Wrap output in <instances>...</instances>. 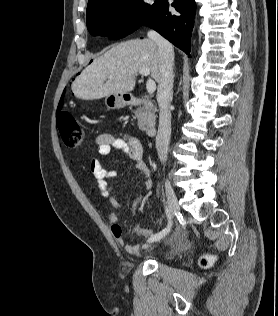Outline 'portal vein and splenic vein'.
I'll use <instances>...</instances> for the list:
<instances>
[{
  "instance_id": "portal-vein-and-splenic-vein-1",
  "label": "portal vein and splenic vein",
  "mask_w": 278,
  "mask_h": 316,
  "mask_svg": "<svg viewBox=\"0 0 278 316\" xmlns=\"http://www.w3.org/2000/svg\"><path fill=\"white\" fill-rule=\"evenodd\" d=\"M139 73L144 76H148L150 74L149 69H140ZM146 88L148 93H153L156 90V83L153 79L149 78L146 83Z\"/></svg>"
}]
</instances>
